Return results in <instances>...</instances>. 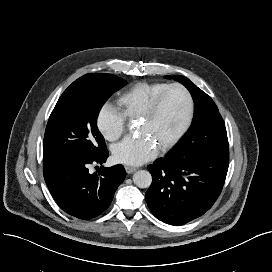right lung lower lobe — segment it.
<instances>
[{
  "label": "right lung lower lobe",
  "mask_w": 272,
  "mask_h": 272,
  "mask_svg": "<svg viewBox=\"0 0 272 272\" xmlns=\"http://www.w3.org/2000/svg\"><path fill=\"white\" fill-rule=\"evenodd\" d=\"M108 155L107 149L92 156L71 153L43 155L46 184L62 210L89 220L108 208L126 176L124 167L121 164L101 167L98 174H91L88 170L90 164L105 162Z\"/></svg>",
  "instance_id": "98d812e1"
}]
</instances>
